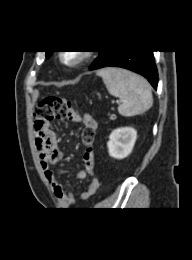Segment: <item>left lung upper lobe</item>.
<instances>
[{
	"instance_id": "obj_1",
	"label": "left lung upper lobe",
	"mask_w": 192,
	"mask_h": 260,
	"mask_svg": "<svg viewBox=\"0 0 192 260\" xmlns=\"http://www.w3.org/2000/svg\"><path fill=\"white\" fill-rule=\"evenodd\" d=\"M52 51H46V57H49ZM100 52V51H99Z\"/></svg>"
}]
</instances>
